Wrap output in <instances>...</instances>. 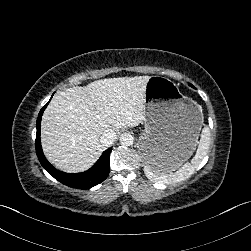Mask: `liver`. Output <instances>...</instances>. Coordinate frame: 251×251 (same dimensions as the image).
I'll return each mask as SVG.
<instances>
[{"mask_svg": "<svg viewBox=\"0 0 251 251\" xmlns=\"http://www.w3.org/2000/svg\"><path fill=\"white\" fill-rule=\"evenodd\" d=\"M148 75L95 80L64 89L45 109L40 130L42 152L57 170L83 173L104 152L100 138L136 127L144 118V89Z\"/></svg>", "mask_w": 251, "mask_h": 251, "instance_id": "obj_1", "label": "liver"}]
</instances>
